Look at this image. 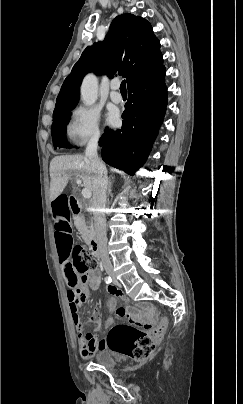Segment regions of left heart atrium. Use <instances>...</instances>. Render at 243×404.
Returning a JSON list of instances; mask_svg holds the SVG:
<instances>
[{"mask_svg": "<svg viewBox=\"0 0 243 404\" xmlns=\"http://www.w3.org/2000/svg\"><path fill=\"white\" fill-rule=\"evenodd\" d=\"M119 115L117 110H111L107 113L106 115V122L109 125H115V123L118 121Z\"/></svg>", "mask_w": 243, "mask_h": 404, "instance_id": "left-heart-atrium-1", "label": "left heart atrium"}]
</instances>
